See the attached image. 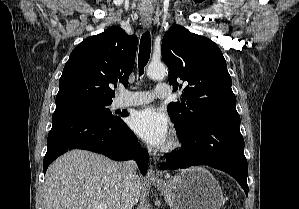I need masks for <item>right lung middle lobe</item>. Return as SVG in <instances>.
<instances>
[{"mask_svg": "<svg viewBox=\"0 0 299 209\" xmlns=\"http://www.w3.org/2000/svg\"><path fill=\"white\" fill-rule=\"evenodd\" d=\"M112 102H72L62 105H56V108H71L91 115L100 121L115 123L119 121V116H115L108 109ZM121 116H124L122 114Z\"/></svg>", "mask_w": 299, "mask_h": 209, "instance_id": "obj_1", "label": "right lung middle lobe"}]
</instances>
